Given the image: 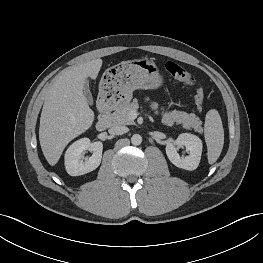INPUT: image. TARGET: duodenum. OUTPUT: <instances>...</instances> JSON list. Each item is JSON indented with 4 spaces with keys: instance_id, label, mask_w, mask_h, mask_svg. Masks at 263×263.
Wrapping results in <instances>:
<instances>
[{
    "instance_id": "duodenum-1",
    "label": "duodenum",
    "mask_w": 263,
    "mask_h": 263,
    "mask_svg": "<svg viewBox=\"0 0 263 263\" xmlns=\"http://www.w3.org/2000/svg\"><path fill=\"white\" fill-rule=\"evenodd\" d=\"M110 123V108L105 102L99 104V119L96 123V129L99 132L105 131Z\"/></svg>"
}]
</instances>
